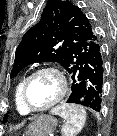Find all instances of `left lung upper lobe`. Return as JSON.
Masks as SVG:
<instances>
[{
  "instance_id": "left-lung-upper-lobe-1",
  "label": "left lung upper lobe",
  "mask_w": 117,
  "mask_h": 136,
  "mask_svg": "<svg viewBox=\"0 0 117 136\" xmlns=\"http://www.w3.org/2000/svg\"><path fill=\"white\" fill-rule=\"evenodd\" d=\"M97 36L79 7L70 1L48 0L40 21L24 34L16 49L11 78L36 62H58L69 72Z\"/></svg>"
}]
</instances>
